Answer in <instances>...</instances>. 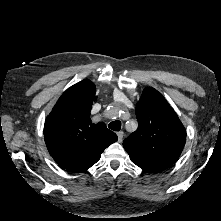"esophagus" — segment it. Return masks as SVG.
Masks as SVG:
<instances>
[{
	"instance_id": "esophagus-1",
	"label": "esophagus",
	"mask_w": 221,
	"mask_h": 221,
	"mask_svg": "<svg viewBox=\"0 0 221 221\" xmlns=\"http://www.w3.org/2000/svg\"><path fill=\"white\" fill-rule=\"evenodd\" d=\"M118 142L121 143L123 141L124 133L122 131L117 132Z\"/></svg>"
}]
</instances>
